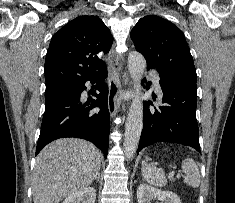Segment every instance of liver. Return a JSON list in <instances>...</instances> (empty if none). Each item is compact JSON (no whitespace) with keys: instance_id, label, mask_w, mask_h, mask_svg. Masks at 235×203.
Instances as JSON below:
<instances>
[{"instance_id":"6515ba94","label":"liver","mask_w":235,"mask_h":203,"mask_svg":"<svg viewBox=\"0 0 235 203\" xmlns=\"http://www.w3.org/2000/svg\"><path fill=\"white\" fill-rule=\"evenodd\" d=\"M101 153L92 143L61 138L37 156L33 174L34 203H59L92 184L100 172Z\"/></svg>"}]
</instances>
